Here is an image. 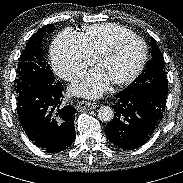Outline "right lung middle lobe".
Wrapping results in <instances>:
<instances>
[{
    "label": "right lung middle lobe",
    "instance_id": "1",
    "mask_svg": "<svg viewBox=\"0 0 183 183\" xmlns=\"http://www.w3.org/2000/svg\"><path fill=\"white\" fill-rule=\"evenodd\" d=\"M54 25H46L33 34L22 51L16 73L17 95L27 86L52 83L53 73L43 57L42 41L46 33H52Z\"/></svg>",
    "mask_w": 183,
    "mask_h": 183
}]
</instances>
